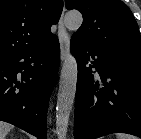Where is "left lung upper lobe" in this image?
I'll list each match as a JSON object with an SVG mask.
<instances>
[{
  "mask_svg": "<svg viewBox=\"0 0 141 139\" xmlns=\"http://www.w3.org/2000/svg\"><path fill=\"white\" fill-rule=\"evenodd\" d=\"M67 9L83 14L74 37L99 48L141 59V36L130 9L121 0H65Z\"/></svg>",
  "mask_w": 141,
  "mask_h": 139,
  "instance_id": "1",
  "label": "left lung upper lobe"
}]
</instances>
